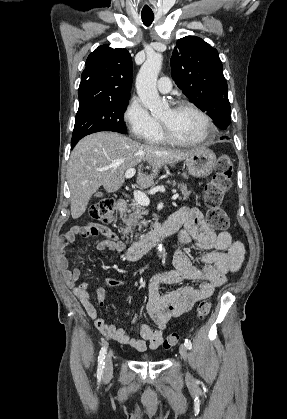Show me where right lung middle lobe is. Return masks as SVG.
<instances>
[{"label":"right lung middle lobe","mask_w":287,"mask_h":419,"mask_svg":"<svg viewBox=\"0 0 287 419\" xmlns=\"http://www.w3.org/2000/svg\"><path fill=\"white\" fill-rule=\"evenodd\" d=\"M128 100L112 101L78 110L72 134V147L84 136L99 131L127 133L123 120Z\"/></svg>","instance_id":"obj_1"}]
</instances>
